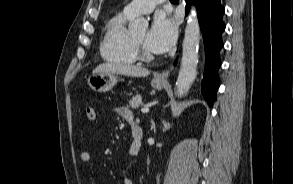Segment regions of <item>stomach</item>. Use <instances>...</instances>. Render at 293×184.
<instances>
[{
	"label": "stomach",
	"instance_id": "stomach-1",
	"mask_svg": "<svg viewBox=\"0 0 293 184\" xmlns=\"http://www.w3.org/2000/svg\"><path fill=\"white\" fill-rule=\"evenodd\" d=\"M118 82V76L111 72H93L87 79L89 87L95 92H107L111 90ZM152 87L161 90L163 81L154 78L151 81Z\"/></svg>",
	"mask_w": 293,
	"mask_h": 184
}]
</instances>
